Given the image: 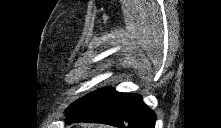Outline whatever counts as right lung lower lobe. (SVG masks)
<instances>
[{
  "label": "right lung lower lobe",
  "mask_w": 221,
  "mask_h": 128,
  "mask_svg": "<svg viewBox=\"0 0 221 128\" xmlns=\"http://www.w3.org/2000/svg\"><path fill=\"white\" fill-rule=\"evenodd\" d=\"M155 113L137 94L113 91L104 98L68 113L66 123H103L120 128H155Z\"/></svg>",
  "instance_id": "1"
}]
</instances>
